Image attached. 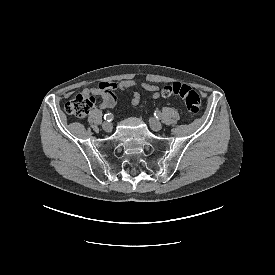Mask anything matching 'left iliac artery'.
<instances>
[{
    "instance_id": "1",
    "label": "left iliac artery",
    "mask_w": 275,
    "mask_h": 275,
    "mask_svg": "<svg viewBox=\"0 0 275 275\" xmlns=\"http://www.w3.org/2000/svg\"><path fill=\"white\" fill-rule=\"evenodd\" d=\"M154 116L159 119L162 115L159 111H155Z\"/></svg>"
}]
</instances>
